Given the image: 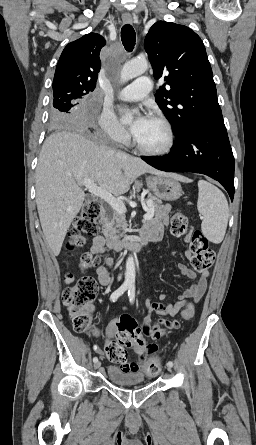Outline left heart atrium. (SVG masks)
Masks as SVG:
<instances>
[{
	"instance_id": "left-heart-atrium-1",
	"label": "left heart atrium",
	"mask_w": 256,
	"mask_h": 445,
	"mask_svg": "<svg viewBox=\"0 0 256 445\" xmlns=\"http://www.w3.org/2000/svg\"><path fill=\"white\" fill-rule=\"evenodd\" d=\"M149 121V118L146 115H139L135 121L133 122V124L131 125V132L134 136H136L137 134L140 133V131L144 128V126L147 124V122Z\"/></svg>"
}]
</instances>
